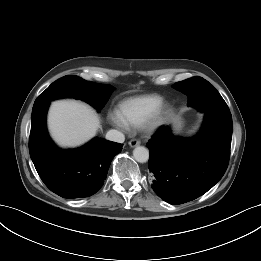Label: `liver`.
Listing matches in <instances>:
<instances>
[{
  "label": "liver",
  "instance_id": "6515ba94",
  "mask_svg": "<svg viewBox=\"0 0 261 261\" xmlns=\"http://www.w3.org/2000/svg\"><path fill=\"white\" fill-rule=\"evenodd\" d=\"M100 120L90 106L75 100L52 103L48 127L53 139L63 147H76L93 138L100 128Z\"/></svg>",
  "mask_w": 261,
  "mask_h": 261
}]
</instances>
